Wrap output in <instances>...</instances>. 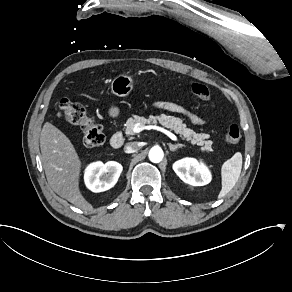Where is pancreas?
<instances>
[{
  "label": "pancreas",
  "instance_id": "1",
  "mask_svg": "<svg viewBox=\"0 0 292 292\" xmlns=\"http://www.w3.org/2000/svg\"><path fill=\"white\" fill-rule=\"evenodd\" d=\"M161 124L163 127L170 128L179 134L180 138L188 141L191 145H197L200 147V150L204 153L209 154L212 151L211 140H205L209 137L206 133H196L190 128H187L186 123L183 122L179 117L168 116L167 114L161 115H150L147 117L133 115L132 118H129L126 123V134H133L132 128L135 124H140L144 128L147 124L153 125L154 127L158 124Z\"/></svg>",
  "mask_w": 292,
  "mask_h": 292
}]
</instances>
